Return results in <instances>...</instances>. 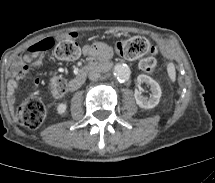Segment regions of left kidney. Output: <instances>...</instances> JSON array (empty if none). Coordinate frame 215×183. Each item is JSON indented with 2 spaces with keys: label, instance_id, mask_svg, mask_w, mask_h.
<instances>
[{
  "label": "left kidney",
  "instance_id": "1",
  "mask_svg": "<svg viewBox=\"0 0 215 183\" xmlns=\"http://www.w3.org/2000/svg\"><path fill=\"white\" fill-rule=\"evenodd\" d=\"M137 81L139 84L145 83L150 85L151 92H152L150 98H147L142 96L141 92L136 89L134 93V97L137 105L144 109H151L157 106L162 95L160 85L155 80H153L150 76L144 75V74H140L137 77Z\"/></svg>",
  "mask_w": 215,
  "mask_h": 183
}]
</instances>
